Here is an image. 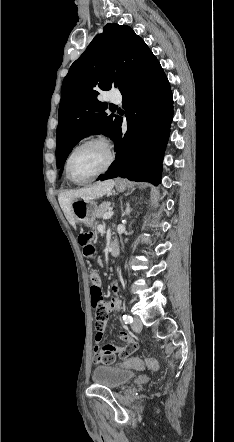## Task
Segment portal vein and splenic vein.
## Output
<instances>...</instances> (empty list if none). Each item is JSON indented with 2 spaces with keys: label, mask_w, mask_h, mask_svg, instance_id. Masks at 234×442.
Instances as JSON below:
<instances>
[{
  "label": "portal vein and splenic vein",
  "mask_w": 234,
  "mask_h": 442,
  "mask_svg": "<svg viewBox=\"0 0 234 442\" xmlns=\"http://www.w3.org/2000/svg\"><path fill=\"white\" fill-rule=\"evenodd\" d=\"M113 214H114L113 211L106 212V213L103 215V219H109V218L112 217Z\"/></svg>",
  "instance_id": "1"
}]
</instances>
